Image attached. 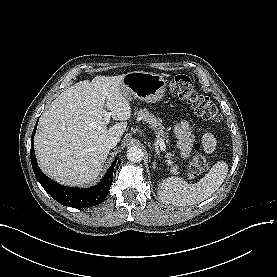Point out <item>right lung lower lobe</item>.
I'll return each mask as SVG.
<instances>
[{"mask_svg":"<svg viewBox=\"0 0 277 277\" xmlns=\"http://www.w3.org/2000/svg\"><path fill=\"white\" fill-rule=\"evenodd\" d=\"M38 123V122H37ZM37 123L31 138V163L38 182L60 204L74 208H86L100 204L108 195L113 181V170L117 158L114 160L103 180L96 186L80 189L62 186L48 178L38 167L34 152V135Z\"/></svg>","mask_w":277,"mask_h":277,"instance_id":"obj_1","label":"right lung lower lobe"}]
</instances>
